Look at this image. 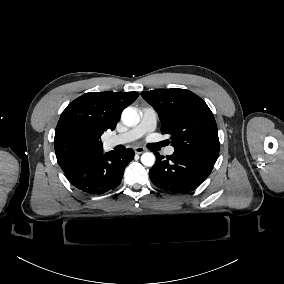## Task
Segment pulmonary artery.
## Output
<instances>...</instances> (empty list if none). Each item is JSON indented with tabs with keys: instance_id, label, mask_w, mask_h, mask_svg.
I'll return each instance as SVG.
<instances>
[{
	"instance_id": "obj_1",
	"label": "pulmonary artery",
	"mask_w": 284,
	"mask_h": 284,
	"mask_svg": "<svg viewBox=\"0 0 284 284\" xmlns=\"http://www.w3.org/2000/svg\"><path fill=\"white\" fill-rule=\"evenodd\" d=\"M157 124V113L153 108L144 107L141 110V119L140 122L131 128L130 130L108 137L105 140V145L113 147L128 142H132L146 133L153 131L156 128ZM172 152V151H171Z\"/></svg>"
}]
</instances>
